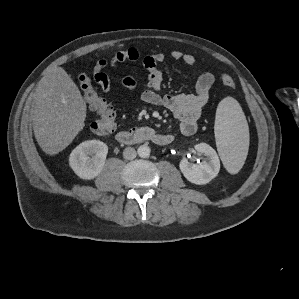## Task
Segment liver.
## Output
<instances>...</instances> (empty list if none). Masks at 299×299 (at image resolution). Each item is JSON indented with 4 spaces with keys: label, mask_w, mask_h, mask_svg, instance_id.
<instances>
[{
    "label": "liver",
    "mask_w": 299,
    "mask_h": 299,
    "mask_svg": "<svg viewBox=\"0 0 299 299\" xmlns=\"http://www.w3.org/2000/svg\"><path fill=\"white\" fill-rule=\"evenodd\" d=\"M34 136L48 155L64 150L85 126L86 103L67 72L49 67L34 95Z\"/></svg>",
    "instance_id": "6515ba94"
}]
</instances>
